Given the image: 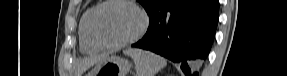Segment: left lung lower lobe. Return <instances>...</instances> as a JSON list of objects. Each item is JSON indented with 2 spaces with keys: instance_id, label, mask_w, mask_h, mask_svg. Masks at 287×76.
I'll return each mask as SVG.
<instances>
[{
  "instance_id": "0a47b994",
  "label": "left lung lower lobe",
  "mask_w": 287,
  "mask_h": 76,
  "mask_svg": "<svg viewBox=\"0 0 287 76\" xmlns=\"http://www.w3.org/2000/svg\"><path fill=\"white\" fill-rule=\"evenodd\" d=\"M219 17L218 0H166L149 15L145 36L132 47L179 63L186 76H199Z\"/></svg>"
}]
</instances>
